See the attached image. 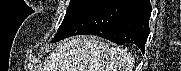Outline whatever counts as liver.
<instances>
[{"mask_svg": "<svg viewBox=\"0 0 181 71\" xmlns=\"http://www.w3.org/2000/svg\"><path fill=\"white\" fill-rule=\"evenodd\" d=\"M133 63V57L122 48L94 36H76L52 50L44 71H132Z\"/></svg>", "mask_w": 181, "mask_h": 71, "instance_id": "6515ba94", "label": "liver"}]
</instances>
